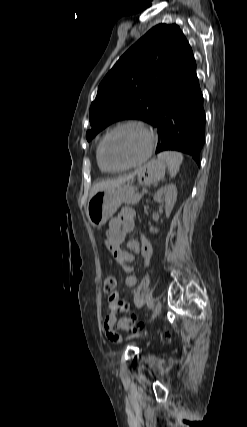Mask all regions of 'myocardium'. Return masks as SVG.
<instances>
[{
	"mask_svg": "<svg viewBox=\"0 0 247 427\" xmlns=\"http://www.w3.org/2000/svg\"><path fill=\"white\" fill-rule=\"evenodd\" d=\"M125 127H136V128L143 130L149 138V145H148V148H147L145 154L140 159H138L137 161H135L131 164L125 165V166L113 167V166L109 165V163L107 162V160L105 158V145H106V142L110 138L111 135H113L115 132H117L118 130L125 128ZM156 142H157L156 132L149 125H147L143 122H140V121H136V120L124 121V122L117 124L112 129H110L102 138V140L100 142V148H99L100 160H101L103 166L109 172L125 171V170L137 167V166L145 163L151 157V155L154 151V148L156 146Z\"/></svg>",
	"mask_w": 247,
	"mask_h": 427,
	"instance_id": "1",
	"label": "myocardium"
}]
</instances>
